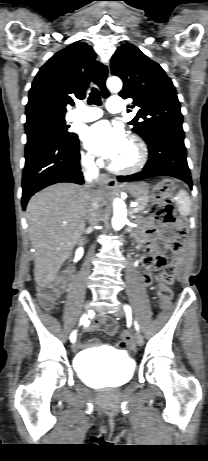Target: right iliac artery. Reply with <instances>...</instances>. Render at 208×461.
I'll return each instance as SVG.
<instances>
[{"label":"right iliac artery","mask_w":208,"mask_h":461,"mask_svg":"<svg viewBox=\"0 0 208 461\" xmlns=\"http://www.w3.org/2000/svg\"><path fill=\"white\" fill-rule=\"evenodd\" d=\"M87 321V315H83L81 320H80V324H83ZM70 340L71 342H75L76 340V331H74L71 336H70Z\"/></svg>","instance_id":"82829eb1"}]
</instances>
